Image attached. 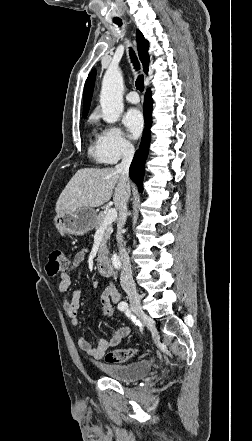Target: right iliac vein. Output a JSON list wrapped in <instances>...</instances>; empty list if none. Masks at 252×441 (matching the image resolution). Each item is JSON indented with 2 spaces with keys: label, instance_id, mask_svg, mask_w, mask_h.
Listing matches in <instances>:
<instances>
[{
  "label": "right iliac vein",
  "instance_id": "obj_1",
  "mask_svg": "<svg viewBox=\"0 0 252 441\" xmlns=\"http://www.w3.org/2000/svg\"><path fill=\"white\" fill-rule=\"evenodd\" d=\"M127 295L130 301L131 310L138 316H142L143 310L141 307V300L138 292L134 289L127 290Z\"/></svg>",
  "mask_w": 252,
  "mask_h": 441
}]
</instances>
